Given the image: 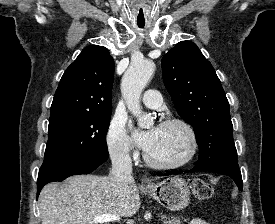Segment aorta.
Wrapping results in <instances>:
<instances>
[{
  "label": "aorta",
  "instance_id": "762f6f07",
  "mask_svg": "<svg viewBox=\"0 0 275 224\" xmlns=\"http://www.w3.org/2000/svg\"><path fill=\"white\" fill-rule=\"evenodd\" d=\"M154 71L155 64L152 61H134L125 71L121 83L122 94L129 111L137 117L138 124L144 128L153 124V118L142 112L140 97Z\"/></svg>",
  "mask_w": 275,
  "mask_h": 224
}]
</instances>
